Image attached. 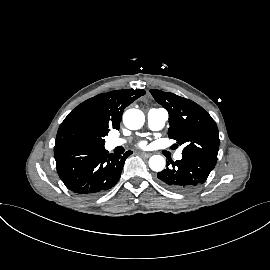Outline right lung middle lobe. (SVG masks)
<instances>
[{
	"label": "right lung middle lobe",
	"instance_id": "1",
	"mask_svg": "<svg viewBox=\"0 0 270 270\" xmlns=\"http://www.w3.org/2000/svg\"><path fill=\"white\" fill-rule=\"evenodd\" d=\"M108 133L97 129L81 117L65 118L60 125L54 148L62 147H104V136Z\"/></svg>",
	"mask_w": 270,
	"mask_h": 270
}]
</instances>
